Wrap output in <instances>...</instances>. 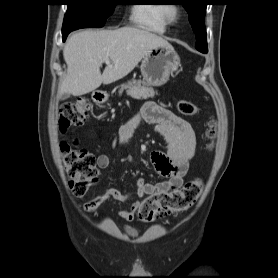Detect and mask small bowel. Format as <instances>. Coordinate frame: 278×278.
I'll return each instance as SVG.
<instances>
[{"label":"small bowel","mask_w":278,"mask_h":278,"mask_svg":"<svg viewBox=\"0 0 278 278\" xmlns=\"http://www.w3.org/2000/svg\"><path fill=\"white\" fill-rule=\"evenodd\" d=\"M143 124L152 126L166 142L164 151L157 150L151 154V162L155 170L165 179L157 183H149L143 178H139L136 182V195L144 197L178 190L183 184V178L187 174L189 162L195 152L196 135L193 127L169 109L153 101H147L137 115L121 126L120 141L124 144L127 143L135 130ZM109 164L108 155L98 156L99 168L106 169ZM128 198L129 194L116 188H107L103 193L86 202L84 208L88 212H94L107 200L126 201ZM140 205L139 201L132 203L129 208L120 210L119 216L125 221H132Z\"/></svg>","instance_id":"1"}]
</instances>
